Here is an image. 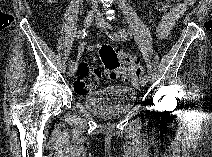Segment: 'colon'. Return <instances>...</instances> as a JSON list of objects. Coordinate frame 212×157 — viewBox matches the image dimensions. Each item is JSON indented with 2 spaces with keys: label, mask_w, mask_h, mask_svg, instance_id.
Masks as SVG:
<instances>
[{
  "label": "colon",
  "mask_w": 212,
  "mask_h": 157,
  "mask_svg": "<svg viewBox=\"0 0 212 157\" xmlns=\"http://www.w3.org/2000/svg\"><path fill=\"white\" fill-rule=\"evenodd\" d=\"M187 1L192 2L191 0ZM159 10L163 13H168L170 4H159ZM99 56L106 75L111 79L123 77L125 81H132L134 78H139L143 73L142 67L137 64L131 54L115 49L110 45H102L99 49ZM100 78L101 71L99 69L79 66L74 84L75 91L79 94L91 91Z\"/></svg>",
  "instance_id": "colon-1"
}]
</instances>
